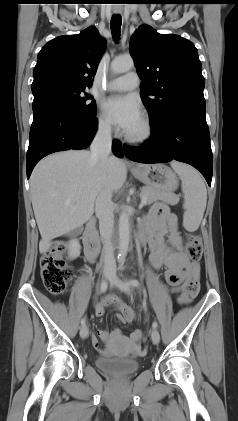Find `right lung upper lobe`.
Wrapping results in <instances>:
<instances>
[{"instance_id": "1", "label": "right lung upper lobe", "mask_w": 238, "mask_h": 421, "mask_svg": "<svg viewBox=\"0 0 238 421\" xmlns=\"http://www.w3.org/2000/svg\"><path fill=\"white\" fill-rule=\"evenodd\" d=\"M104 45L95 27H89L77 35L60 36L49 41L38 54L32 86L60 82L90 87Z\"/></svg>"}]
</instances>
